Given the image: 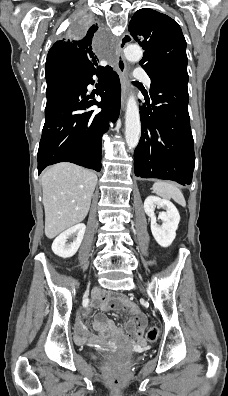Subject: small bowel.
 <instances>
[{
  "label": "small bowel",
  "mask_w": 228,
  "mask_h": 396,
  "mask_svg": "<svg viewBox=\"0 0 228 396\" xmlns=\"http://www.w3.org/2000/svg\"><path fill=\"white\" fill-rule=\"evenodd\" d=\"M92 306L101 311L121 310L130 315L125 328L117 326L112 320L106 318L103 312L96 315L93 327L100 335H109L115 338H129L143 343V334L147 328L148 320L146 315L132 304L124 295L98 293L92 301ZM76 338L80 342L91 340L87 336L80 323L76 327Z\"/></svg>",
  "instance_id": "obj_1"
}]
</instances>
